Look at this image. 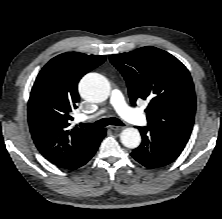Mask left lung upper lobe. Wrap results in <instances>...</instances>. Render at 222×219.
<instances>
[{
	"label": "left lung upper lobe",
	"mask_w": 222,
	"mask_h": 219,
	"mask_svg": "<svg viewBox=\"0 0 222 219\" xmlns=\"http://www.w3.org/2000/svg\"><path fill=\"white\" fill-rule=\"evenodd\" d=\"M110 62L127 82L130 101L149 100L148 126L188 142L196 110L187 68L171 54L152 47L114 54Z\"/></svg>",
	"instance_id": "obj_1"
}]
</instances>
